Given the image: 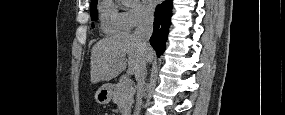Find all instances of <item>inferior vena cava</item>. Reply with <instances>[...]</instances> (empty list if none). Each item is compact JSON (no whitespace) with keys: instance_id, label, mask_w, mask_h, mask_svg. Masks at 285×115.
Returning <instances> with one entry per match:
<instances>
[{"instance_id":"602c4592","label":"inferior vena cava","mask_w":285,"mask_h":115,"mask_svg":"<svg viewBox=\"0 0 285 115\" xmlns=\"http://www.w3.org/2000/svg\"><path fill=\"white\" fill-rule=\"evenodd\" d=\"M153 15L152 14H144L138 22L137 28L133 34L134 38L140 43L142 52H143V60L140 63V66L135 73V78L137 81V90H134V101L138 104V109H135L133 115L142 114V109L145 106L143 102V98L145 95L144 84H145V76H146V52L150 47L149 39L153 33Z\"/></svg>"}]
</instances>
